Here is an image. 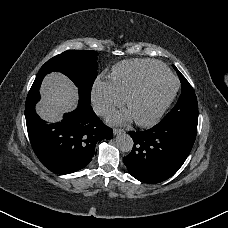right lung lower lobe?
Masks as SVG:
<instances>
[{
	"mask_svg": "<svg viewBox=\"0 0 228 228\" xmlns=\"http://www.w3.org/2000/svg\"><path fill=\"white\" fill-rule=\"evenodd\" d=\"M39 99V88L32 85L25 103L26 125L35 154L50 171L69 174L84 168L92 160L96 143L113 137L112 129L90 104L79 102L61 122L48 124L36 114Z\"/></svg>",
	"mask_w": 228,
	"mask_h": 228,
	"instance_id": "1",
	"label": "right lung lower lobe"
}]
</instances>
